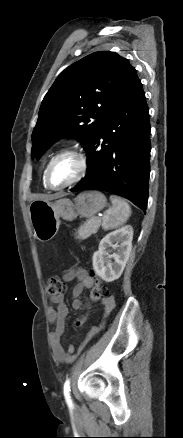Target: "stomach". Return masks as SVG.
<instances>
[{"label":"stomach","instance_id":"0dacf381","mask_svg":"<svg viewBox=\"0 0 183 438\" xmlns=\"http://www.w3.org/2000/svg\"><path fill=\"white\" fill-rule=\"evenodd\" d=\"M105 206V196L96 191L79 194L74 203L66 198L55 202L36 199L29 205L34 237L41 242H48L57 234L60 218L68 221H72L77 215L90 218Z\"/></svg>","mask_w":183,"mask_h":438}]
</instances>
